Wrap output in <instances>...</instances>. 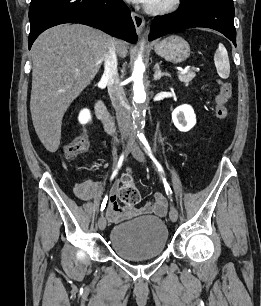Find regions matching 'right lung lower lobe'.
<instances>
[{
    "instance_id": "right-lung-lower-lobe-1",
    "label": "right lung lower lobe",
    "mask_w": 261,
    "mask_h": 306,
    "mask_svg": "<svg viewBox=\"0 0 261 306\" xmlns=\"http://www.w3.org/2000/svg\"><path fill=\"white\" fill-rule=\"evenodd\" d=\"M29 49L46 29L80 23L131 43L137 35L130 10L122 0H31Z\"/></svg>"
}]
</instances>
